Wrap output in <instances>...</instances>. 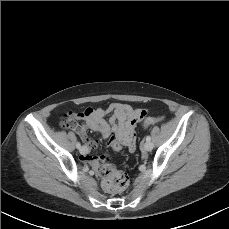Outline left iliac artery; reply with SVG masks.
<instances>
[{
	"label": "left iliac artery",
	"mask_w": 229,
	"mask_h": 229,
	"mask_svg": "<svg viewBox=\"0 0 229 229\" xmlns=\"http://www.w3.org/2000/svg\"><path fill=\"white\" fill-rule=\"evenodd\" d=\"M151 140V137L150 136H147L146 137V141H150Z\"/></svg>",
	"instance_id": "1"
}]
</instances>
